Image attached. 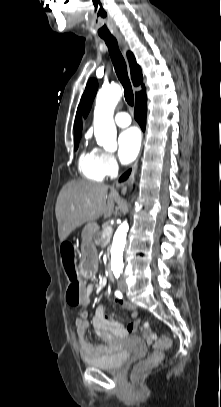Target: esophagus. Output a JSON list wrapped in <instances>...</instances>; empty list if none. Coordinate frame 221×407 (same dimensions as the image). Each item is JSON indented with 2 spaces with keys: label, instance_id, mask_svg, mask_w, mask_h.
Instances as JSON below:
<instances>
[{
  "label": "esophagus",
  "instance_id": "obj_1",
  "mask_svg": "<svg viewBox=\"0 0 221 407\" xmlns=\"http://www.w3.org/2000/svg\"><path fill=\"white\" fill-rule=\"evenodd\" d=\"M116 39H117L119 45L121 46L123 52L125 53L126 50H127V46H126V43H125L123 37H122L121 35H116ZM137 168H138V161H136V163H135L134 166H133V173L136 172ZM133 181H134V174H132V175L130 176V178L127 180V182H125V183L122 185V187H126L127 184L133 183Z\"/></svg>",
  "mask_w": 221,
  "mask_h": 407
}]
</instances>
